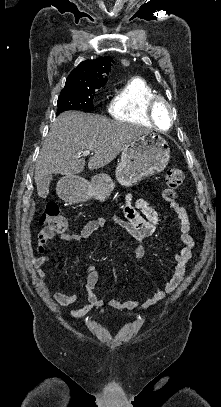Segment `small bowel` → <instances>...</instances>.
I'll return each mask as SVG.
<instances>
[{
  "instance_id": "c3829d8e",
  "label": "small bowel",
  "mask_w": 221,
  "mask_h": 407,
  "mask_svg": "<svg viewBox=\"0 0 221 407\" xmlns=\"http://www.w3.org/2000/svg\"><path fill=\"white\" fill-rule=\"evenodd\" d=\"M171 210L176 214L179 225L181 246L174 254L173 274L165 281L162 288L156 291H147L136 299L120 301L116 298H110L107 305L115 310L140 311L151 307L171 294L187 278V264L193 257L195 248V239L191 234V226L188 213L180 202L170 204ZM124 218L119 216H110L98 218L87 222L78 233H63L59 239L62 242L79 241L89 238L93 233L100 229H107L112 224L119 226L127 231L136 240L141 241L144 238L155 234L158 225V215L150 207L144 198H135L132 193L126 196L123 207ZM46 241L38 237L37 251L41 255L34 260V269L41 281L45 279L44 267L53 262V257L42 254ZM145 255V249L142 245L135 248V257L142 258ZM83 280L87 291V303L82 307L70 312L71 319H77L89 314L94 308L101 307L104 299L94 293L95 286L99 280V274L94 266L86 269ZM52 301L62 307L74 304L78 299V293L71 291L68 293L50 290Z\"/></svg>"
}]
</instances>
